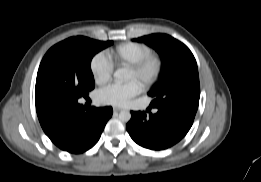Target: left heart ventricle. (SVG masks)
<instances>
[{"instance_id":"b2bd125f","label":"left heart ventricle","mask_w":261,"mask_h":182,"mask_svg":"<svg viewBox=\"0 0 261 182\" xmlns=\"http://www.w3.org/2000/svg\"><path fill=\"white\" fill-rule=\"evenodd\" d=\"M127 80L128 81L136 80V81L140 82L139 76L132 70H129Z\"/></svg>"}]
</instances>
